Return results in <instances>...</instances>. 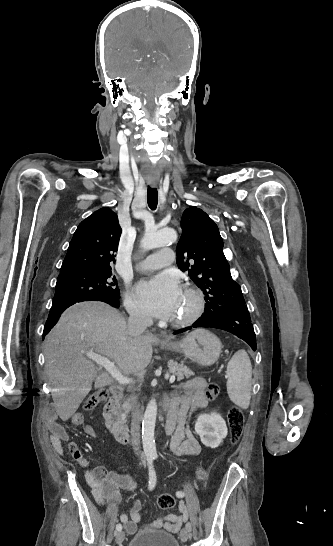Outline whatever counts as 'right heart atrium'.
I'll use <instances>...</instances> for the list:
<instances>
[{
	"instance_id": "obj_1",
	"label": "right heart atrium",
	"mask_w": 333,
	"mask_h": 546,
	"mask_svg": "<svg viewBox=\"0 0 333 546\" xmlns=\"http://www.w3.org/2000/svg\"><path fill=\"white\" fill-rule=\"evenodd\" d=\"M125 307L129 312L130 316L137 321L148 322L149 316L141 307V305L134 299L131 294H126L125 297Z\"/></svg>"
}]
</instances>
